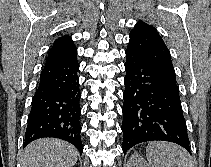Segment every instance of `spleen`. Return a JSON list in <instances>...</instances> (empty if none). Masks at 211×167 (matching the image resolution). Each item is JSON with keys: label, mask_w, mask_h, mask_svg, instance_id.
<instances>
[{"label": "spleen", "mask_w": 211, "mask_h": 167, "mask_svg": "<svg viewBox=\"0 0 211 167\" xmlns=\"http://www.w3.org/2000/svg\"><path fill=\"white\" fill-rule=\"evenodd\" d=\"M150 167H194L190 154L170 142H150L146 148Z\"/></svg>", "instance_id": "obj_1"}]
</instances>
